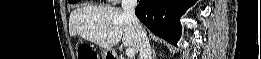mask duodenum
<instances>
[{"label":"duodenum","instance_id":"obj_1","mask_svg":"<svg viewBox=\"0 0 261 59\" xmlns=\"http://www.w3.org/2000/svg\"><path fill=\"white\" fill-rule=\"evenodd\" d=\"M113 59H119V57L112 56Z\"/></svg>","mask_w":261,"mask_h":59}]
</instances>
